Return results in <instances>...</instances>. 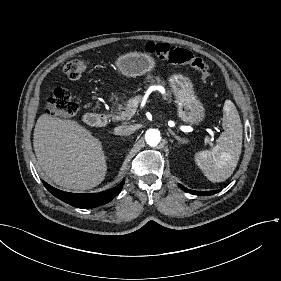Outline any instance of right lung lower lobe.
Masks as SVG:
<instances>
[{
  "mask_svg": "<svg viewBox=\"0 0 281 281\" xmlns=\"http://www.w3.org/2000/svg\"><path fill=\"white\" fill-rule=\"evenodd\" d=\"M44 186L58 199L77 208H93L108 203L122 190L124 180L114 188L100 193H68L50 186L43 181Z\"/></svg>",
  "mask_w": 281,
  "mask_h": 281,
  "instance_id": "obj_1",
  "label": "right lung lower lobe"
}]
</instances>
